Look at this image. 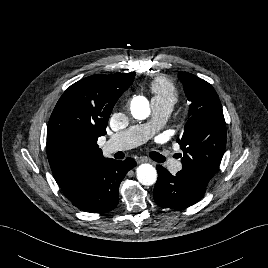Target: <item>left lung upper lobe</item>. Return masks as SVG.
Masks as SVG:
<instances>
[{
  "label": "left lung upper lobe",
  "mask_w": 268,
  "mask_h": 268,
  "mask_svg": "<svg viewBox=\"0 0 268 268\" xmlns=\"http://www.w3.org/2000/svg\"><path fill=\"white\" fill-rule=\"evenodd\" d=\"M191 102L181 139L182 172L207 186L226 147V123L219 97L211 84L188 72L178 74Z\"/></svg>",
  "instance_id": "left-lung-upper-lobe-1"
}]
</instances>
